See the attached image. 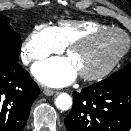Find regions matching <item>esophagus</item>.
I'll return each mask as SVG.
<instances>
[{
  "instance_id": "obj_1",
  "label": "esophagus",
  "mask_w": 131,
  "mask_h": 131,
  "mask_svg": "<svg viewBox=\"0 0 131 131\" xmlns=\"http://www.w3.org/2000/svg\"><path fill=\"white\" fill-rule=\"evenodd\" d=\"M43 93H44L46 96H52V95L55 93V91L52 90V89L45 88V89L43 90Z\"/></svg>"
}]
</instances>
